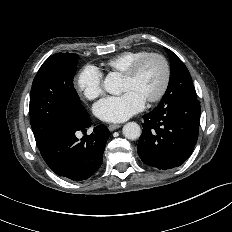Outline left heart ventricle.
I'll use <instances>...</instances> for the list:
<instances>
[{
  "mask_svg": "<svg viewBox=\"0 0 232 232\" xmlns=\"http://www.w3.org/2000/svg\"><path fill=\"white\" fill-rule=\"evenodd\" d=\"M163 81V68L156 59L147 60L134 78H123V90H134L145 100L155 95Z\"/></svg>",
  "mask_w": 232,
  "mask_h": 232,
  "instance_id": "1",
  "label": "left heart ventricle"
}]
</instances>
